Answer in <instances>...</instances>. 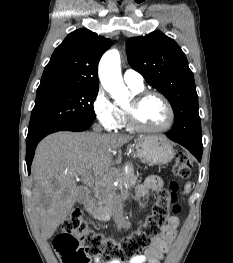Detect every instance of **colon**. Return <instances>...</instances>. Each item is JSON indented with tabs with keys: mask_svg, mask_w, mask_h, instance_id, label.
Masks as SVG:
<instances>
[{
	"mask_svg": "<svg viewBox=\"0 0 233 263\" xmlns=\"http://www.w3.org/2000/svg\"><path fill=\"white\" fill-rule=\"evenodd\" d=\"M190 176L189 157L179 152L175 159L172 178L167 190L161 192L152 213L134 232L119 239L95 231L87 224L81 210H74L55 239V250L65 263H90L92 259L127 261L140 256L161 235L163 225L179 213L177 179Z\"/></svg>",
	"mask_w": 233,
	"mask_h": 263,
	"instance_id": "5ec220e1",
	"label": "colon"
}]
</instances>
